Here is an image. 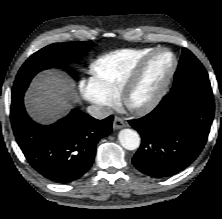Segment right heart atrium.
<instances>
[{
    "instance_id": "d8ad5b80",
    "label": "right heart atrium",
    "mask_w": 222,
    "mask_h": 219,
    "mask_svg": "<svg viewBox=\"0 0 222 219\" xmlns=\"http://www.w3.org/2000/svg\"><path fill=\"white\" fill-rule=\"evenodd\" d=\"M78 90L81 97L84 100H87L96 106H98L102 110H109L113 107L114 101L109 98L99 94L92 83L87 80H82L79 82Z\"/></svg>"
}]
</instances>
